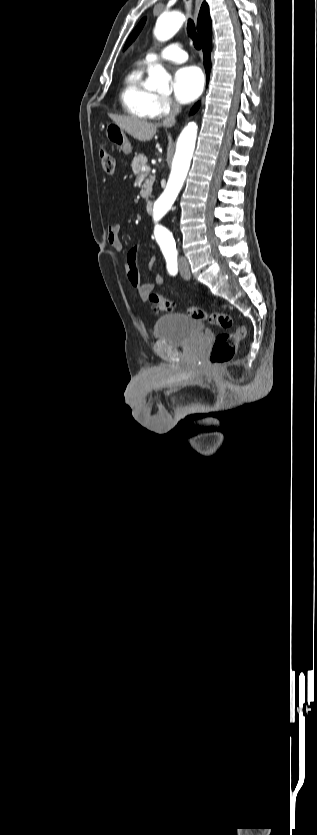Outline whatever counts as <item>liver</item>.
<instances>
[{
  "label": "liver",
  "mask_w": 317,
  "mask_h": 835,
  "mask_svg": "<svg viewBox=\"0 0 317 835\" xmlns=\"http://www.w3.org/2000/svg\"><path fill=\"white\" fill-rule=\"evenodd\" d=\"M109 117L129 135L141 142L150 141L160 126V124H153L132 117L115 115H109Z\"/></svg>",
  "instance_id": "1"
}]
</instances>
